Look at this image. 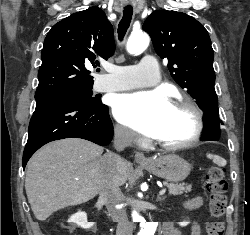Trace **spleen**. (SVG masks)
I'll return each instance as SVG.
<instances>
[{
	"mask_svg": "<svg viewBox=\"0 0 250 235\" xmlns=\"http://www.w3.org/2000/svg\"><path fill=\"white\" fill-rule=\"evenodd\" d=\"M208 158L213 159L214 163L218 164L219 166H225L226 161L223 158H220L216 155H208Z\"/></svg>",
	"mask_w": 250,
	"mask_h": 235,
	"instance_id": "spleen-1",
	"label": "spleen"
}]
</instances>
